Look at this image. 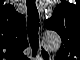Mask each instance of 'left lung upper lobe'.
Instances as JSON below:
<instances>
[{
	"instance_id": "left-lung-upper-lobe-1",
	"label": "left lung upper lobe",
	"mask_w": 80,
	"mask_h": 60,
	"mask_svg": "<svg viewBox=\"0 0 80 60\" xmlns=\"http://www.w3.org/2000/svg\"><path fill=\"white\" fill-rule=\"evenodd\" d=\"M71 4L62 2L56 7L50 19L46 20V28L55 30L62 38L60 51L70 50L71 48V32L70 23ZM59 51V52H60Z\"/></svg>"
}]
</instances>
